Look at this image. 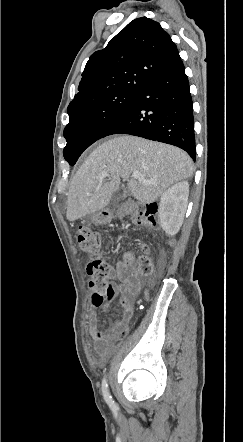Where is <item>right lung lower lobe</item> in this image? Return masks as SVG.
<instances>
[{
	"label": "right lung lower lobe",
	"mask_w": 243,
	"mask_h": 442,
	"mask_svg": "<svg viewBox=\"0 0 243 442\" xmlns=\"http://www.w3.org/2000/svg\"><path fill=\"white\" fill-rule=\"evenodd\" d=\"M112 134L175 145L196 159L193 102L179 54L150 76L99 137Z\"/></svg>",
	"instance_id": "1"
}]
</instances>
